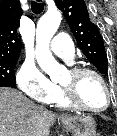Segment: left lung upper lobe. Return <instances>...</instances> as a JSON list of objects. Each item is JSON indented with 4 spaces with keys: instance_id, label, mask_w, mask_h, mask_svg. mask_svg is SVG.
<instances>
[{
    "instance_id": "obj_1",
    "label": "left lung upper lobe",
    "mask_w": 117,
    "mask_h": 136,
    "mask_svg": "<svg viewBox=\"0 0 117 136\" xmlns=\"http://www.w3.org/2000/svg\"><path fill=\"white\" fill-rule=\"evenodd\" d=\"M63 12L76 41L87 59L101 74L107 75V55L103 38L90 21L84 0H55Z\"/></svg>"
}]
</instances>
